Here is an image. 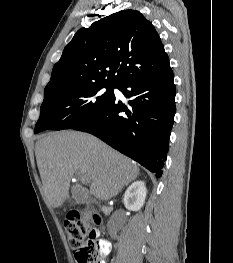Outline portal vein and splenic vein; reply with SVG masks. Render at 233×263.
Returning <instances> with one entry per match:
<instances>
[{
	"mask_svg": "<svg viewBox=\"0 0 233 263\" xmlns=\"http://www.w3.org/2000/svg\"><path fill=\"white\" fill-rule=\"evenodd\" d=\"M78 175H79L81 182H83L85 184H88L91 182L90 178H88L86 175L81 174V173H78Z\"/></svg>",
	"mask_w": 233,
	"mask_h": 263,
	"instance_id": "obj_1",
	"label": "portal vein and splenic vein"
}]
</instances>
